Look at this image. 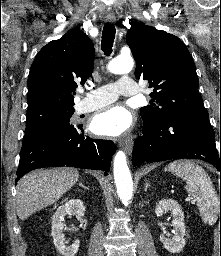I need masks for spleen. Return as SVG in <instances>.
I'll list each match as a JSON object with an SVG mask.
<instances>
[{"label":"spleen","instance_id":"3e777b00","mask_svg":"<svg viewBox=\"0 0 221 256\" xmlns=\"http://www.w3.org/2000/svg\"><path fill=\"white\" fill-rule=\"evenodd\" d=\"M174 175L186 181V191L196 199L202 220L213 225L219 214V199L206 171L189 160H176L165 167Z\"/></svg>","mask_w":221,"mask_h":256}]
</instances>
